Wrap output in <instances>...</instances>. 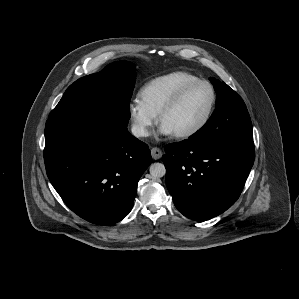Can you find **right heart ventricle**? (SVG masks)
I'll list each match as a JSON object with an SVG mask.
<instances>
[{
    "label": "right heart ventricle",
    "instance_id": "obj_1",
    "mask_svg": "<svg viewBox=\"0 0 299 299\" xmlns=\"http://www.w3.org/2000/svg\"><path fill=\"white\" fill-rule=\"evenodd\" d=\"M197 79H199L197 76L185 71L159 76L142 87L139 93L140 101L158 116L161 109L182 86Z\"/></svg>",
    "mask_w": 299,
    "mask_h": 299
}]
</instances>
